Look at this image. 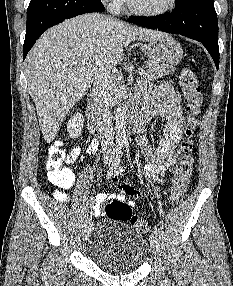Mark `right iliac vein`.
<instances>
[{
	"label": "right iliac vein",
	"mask_w": 233,
	"mask_h": 286,
	"mask_svg": "<svg viewBox=\"0 0 233 286\" xmlns=\"http://www.w3.org/2000/svg\"><path fill=\"white\" fill-rule=\"evenodd\" d=\"M91 232H92V223H89V224L84 228V231H83V239H84V240H87V239L90 237Z\"/></svg>",
	"instance_id": "1"
}]
</instances>
